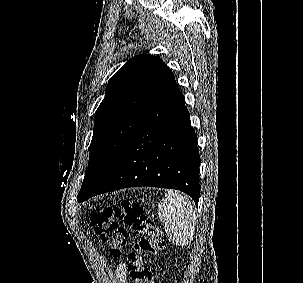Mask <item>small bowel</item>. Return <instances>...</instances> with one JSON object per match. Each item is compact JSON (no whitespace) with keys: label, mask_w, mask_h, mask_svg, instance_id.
<instances>
[{"label":"small bowel","mask_w":303,"mask_h":283,"mask_svg":"<svg viewBox=\"0 0 303 283\" xmlns=\"http://www.w3.org/2000/svg\"><path fill=\"white\" fill-rule=\"evenodd\" d=\"M116 279L118 283L127 282V267L125 263H120L115 271Z\"/></svg>","instance_id":"small-bowel-1"}]
</instances>
